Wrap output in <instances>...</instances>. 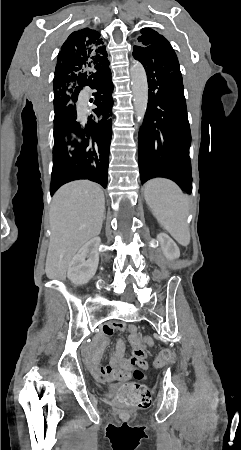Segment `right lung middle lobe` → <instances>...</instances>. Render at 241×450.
<instances>
[{
    "instance_id": "1",
    "label": "right lung middle lobe",
    "mask_w": 241,
    "mask_h": 450,
    "mask_svg": "<svg viewBox=\"0 0 241 450\" xmlns=\"http://www.w3.org/2000/svg\"><path fill=\"white\" fill-rule=\"evenodd\" d=\"M75 101L70 98H65L63 100L54 101V112L55 117L54 121L61 116V114L68 109H74L75 107ZM55 139L60 138L61 136L54 132ZM66 139L70 140L71 138L66 137Z\"/></svg>"
}]
</instances>
